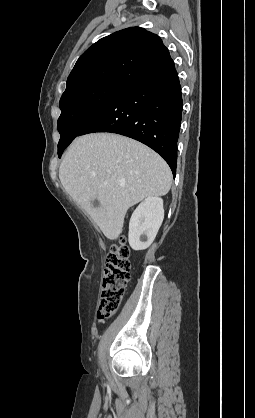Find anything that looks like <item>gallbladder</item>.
I'll return each mask as SVG.
<instances>
[{"mask_svg": "<svg viewBox=\"0 0 255 418\" xmlns=\"http://www.w3.org/2000/svg\"><path fill=\"white\" fill-rule=\"evenodd\" d=\"M92 204H93L94 207H98L99 206V201L97 199H95Z\"/></svg>", "mask_w": 255, "mask_h": 418, "instance_id": "gallbladder-1", "label": "gallbladder"}]
</instances>
